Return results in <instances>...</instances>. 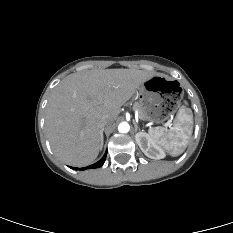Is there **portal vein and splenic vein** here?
I'll return each mask as SVG.
<instances>
[{
	"label": "portal vein and splenic vein",
	"instance_id": "1",
	"mask_svg": "<svg viewBox=\"0 0 233 233\" xmlns=\"http://www.w3.org/2000/svg\"><path fill=\"white\" fill-rule=\"evenodd\" d=\"M166 125L170 127V123H167Z\"/></svg>",
	"mask_w": 233,
	"mask_h": 233
}]
</instances>
